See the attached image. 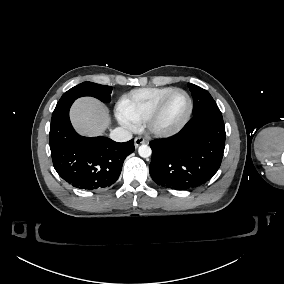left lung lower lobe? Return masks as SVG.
<instances>
[{
  "instance_id": "1",
  "label": "left lung lower lobe",
  "mask_w": 284,
  "mask_h": 284,
  "mask_svg": "<svg viewBox=\"0 0 284 284\" xmlns=\"http://www.w3.org/2000/svg\"><path fill=\"white\" fill-rule=\"evenodd\" d=\"M225 136L219 108L194 115L176 135L150 142L152 179L173 190H189L204 184L221 165Z\"/></svg>"
}]
</instances>
